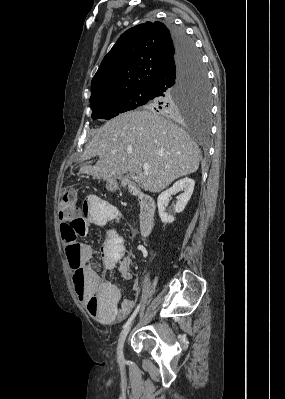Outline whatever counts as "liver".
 <instances>
[{"label": "liver", "mask_w": 285, "mask_h": 399, "mask_svg": "<svg viewBox=\"0 0 285 399\" xmlns=\"http://www.w3.org/2000/svg\"><path fill=\"white\" fill-rule=\"evenodd\" d=\"M96 156V164H82L80 173L107 181L136 173L141 188L157 193L177 178L196 172L201 151L178 125L153 111L135 110L100 127L81 163ZM144 163L150 165L148 171L142 170Z\"/></svg>", "instance_id": "obj_1"}]
</instances>
